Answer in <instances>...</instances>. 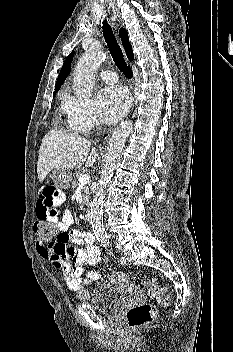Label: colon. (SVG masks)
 <instances>
[{"label": "colon", "instance_id": "colon-1", "mask_svg": "<svg viewBox=\"0 0 233 352\" xmlns=\"http://www.w3.org/2000/svg\"><path fill=\"white\" fill-rule=\"evenodd\" d=\"M34 232L38 239L42 241H50L58 235L57 228L46 219H37L33 226ZM150 298L155 303H160L163 306H169L170 299L165 295V286L159 284L155 279H148L144 281ZM77 297L85 300L89 297V292L80 287L76 289ZM156 316V309L154 306L144 303L130 308L127 312V323L131 328H139L151 322Z\"/></svg>", "mask_w": 233, "mask_h": 352}]
</instances>
